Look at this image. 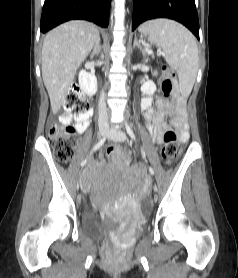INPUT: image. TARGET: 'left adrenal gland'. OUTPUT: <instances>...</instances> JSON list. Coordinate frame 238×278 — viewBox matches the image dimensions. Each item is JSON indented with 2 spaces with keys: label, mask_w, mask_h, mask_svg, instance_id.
I'll return each instance as SVG.
<instances>
[{
  "label": "left adrenal gland",
  "mask_w": 238,
  "mask_h": 278,
  "mask_svg": "<svg viewBox=\"0 0 238 278\" xmlns=\"http://www.w3.org/2000/svg\"><path fill=\"white\" fill-rule=\"evenodd\" d=\"M134 47L137 46L138 48H141V44H140V41L137 39V37H135L134 39Z\"/></svg>",
  "instance_id": "obj_1"
}]
</instances>
